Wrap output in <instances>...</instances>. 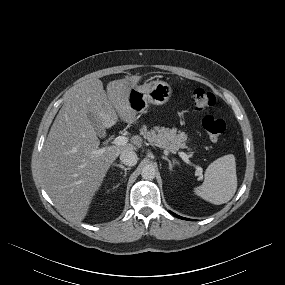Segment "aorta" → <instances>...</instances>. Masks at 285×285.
I'll return each mask as SVG.
<instances>
[{"label": "aorta", "mask_w": 285, "mask_h": 285, "mask_svg": "<svg viewBox=\"0 0 285 285\" xmlns=\"http://www.w3.org/2000/svg\"><path fill=\"white\" fill-rule=\"evenodd\" d=\"M156 170L152 165H146L142 168L141 176L145 180H152L155 178Z\"/></svg>", "instance_id": "1"}]
</instances>
